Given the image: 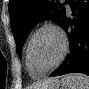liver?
<instances>
[{
    "label": "liver",
    "mask_w": 89,
    "mask_h": 89,
    "mask_svg": "<svg viewBox=\"0 0 89 89\" xmlns=\"http://www.w3.org/2000/svg\"><path fill=\"white\" fill-rule=\"evenodd\" d=\"M58 81L59 80L57 78H48L38 83L35 87H38L37 89H45L46 87L57 83Z\"/></svg>",
    "instance_id": "obj_1"
}]
</instances>
